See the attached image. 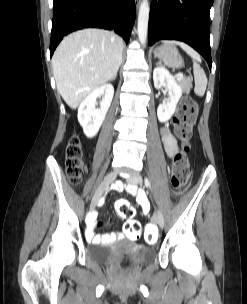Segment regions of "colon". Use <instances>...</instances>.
I'll return each mask as SVG.
<instances>
[{
	"instance_id": "5ec220e1",
	"label": "colon",
	"mask_w": 247,
	"mask_h": 304,
	"mask_svg": "<svg viewBox=\"0 0 247 304\" xmlns=\"http://www.w3.org/2000/svg\"><path fill=\"white\" fill-rule=\"evenodd\" d=\"M196 115V102L191 97H184L173 118L175 133L182 141V150L175 156L171 171V183L177 190L183 189L190 178L191 168L186 152ZM66 171L71 183L77 184L81 181L83 172L82 149L77 136L71 137L66 149ZM117 212L120 216L129 219L124 228V235H128L134 241H138L142 233V224L132 219L134 216L132 205L125 200H121L117 203ZM145 229L148 237L145 240V245L155 246L156 240L154 238H159L160 236L159 224H146Z\"/></svg>"
}]
</instances>
